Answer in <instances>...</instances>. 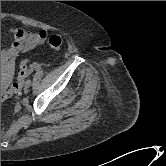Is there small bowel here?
I'll return each mask as SVG.
<instances>
[{
  "label": "small bowel",
  "instance_id": "c3829d8e",
  "mask_svg": "<svg viewBox=\"0 0 166 166\" xmlns=\"http://www.w3.org/2000/svg\"><path fill=\"white\" fill-rule=\"evenodd\" d=\"M5 31L13 37L11 45L1 50V70L4 69L7 73L12 72L15 59L20 53L33 50L43 44L48 36L45 30L32 32L17 27H8Z\"/></svg>",
  "mask_w": 166,
  "mask_h": 166
}]
</instances>
